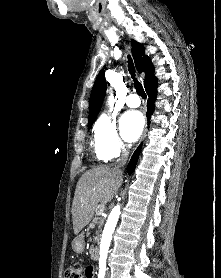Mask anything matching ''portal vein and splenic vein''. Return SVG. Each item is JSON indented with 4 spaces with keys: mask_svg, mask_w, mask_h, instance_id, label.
<instances>
[{
    "mask_svg": "<svg viewBox=\"0 0 221 278\" xmlns=\"http://www.w3.org/2000/svg\"><path fill=\"white\" fill-rule=\"evenodd\" d=\"M104 209H105V205H104V204H101V205L98 207V215H101V214L104 212Z\"/></svg>",
    "mask_w": 221,
    "mask_h": 278,
    "instance_id": "18ae733b",
    "label": "portal vein and splenic vein"
}]
</instances>
